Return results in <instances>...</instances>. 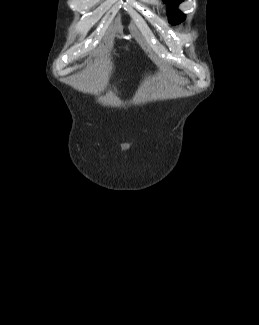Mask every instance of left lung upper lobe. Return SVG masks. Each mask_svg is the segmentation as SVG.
<instances>
[{
	"label": "left lung upper lobe",
	"instance_id": "1",
	"mask_svg": "<svg viewBox=\"0 0 259 325\" xmlns=\"http://www.w3.org/2000/svg\"><path fill=\"white\" fill-rule=\"evenodd\" d=\"M182 1L183 0H164V2L170 4L168 15H169V21L172 24H178L185 19L184 14L177 10V4H179Z\"/></svg>",
	"mask_w": 259,
	"mask_h": 325
}]
</instances>
